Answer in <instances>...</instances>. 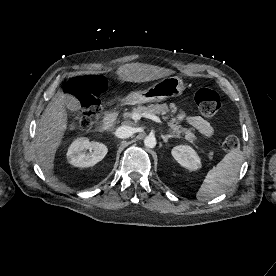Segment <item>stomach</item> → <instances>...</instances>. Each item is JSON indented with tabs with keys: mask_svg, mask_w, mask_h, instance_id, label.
Here are the masks:
<instances>
[{
	"mask_svg": "<svg viewBox=\"0 0 276 276\" xmlns=\"http://www.w3.org/2000/svg\"><path fill=\"white\" fill-rule=\"evenodd\" d=\"M185 84L180 77H165L145 90L131 92L124 98L129 105L160 102L183 94Z\"/></svg>",
	"mask_w": 276,
	"mask_h": 276,
	"instance_id": "obj_1",
	"label": "stomach"
}]
</instances>
